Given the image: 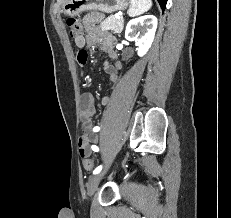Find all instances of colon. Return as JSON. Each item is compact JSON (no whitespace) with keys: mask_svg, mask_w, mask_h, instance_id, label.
Returning <instances> with one entry per match:
<instances>
[{"mask_svg":"<svg viewBox=\"0 0 231 218\" xmlns=\"http://www.w3.org/2000/svg\"><path fill=\"white\" fill-rule=\"evenodd\" d=\"M66 25L68 27L69 35L71 38L74 40L80 37H83L84 33V26L80 23L79 20L73 17H69L66 19ZM80 56H85L87 58V52L85 50H80L78 53V58ZM83 157V167L86 170H91L94 167V162L91 158L87 156H82Z\"/></svg>","mask_w":231,"mask_h":218,"instance_id":"5ec220e1","label":"colon"}]
</instances>
